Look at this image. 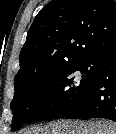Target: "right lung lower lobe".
Returning <instances> with one entry per match:
<instances>
[{
	"label": "right lung lower lobe",
	"mask_w": 116,
	"mask_h": 134,
	"mask_svg": "<svg viewBox=\"0 0 116 134\" xmlns=\"http://www.w3.org/2000/svg\"><path fill=\"white\" fill-rule=\"evenodd\" d=\"M95 77L81 98L56 118H105L116 122V47L98 55Z\"/></svg>",
	"instance_id": "98d812e1"
}]
</instances>
